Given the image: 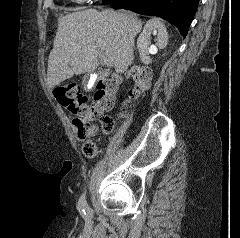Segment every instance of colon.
Returning a JSON list of instances; mask_svg holds the SVG:
<instances>
[{
    "label": "colon",
    "mask_w": 240,
    "mask_h": 238,
    "mask_svg": "<svg viewBox=\"0 0 240 238\" xmlns=\"http://www.w3.org/2000/svg\"><path fill=\"white\" fill-rule=\"evenodd\" d=\"M128 74L132 79V87L124 98V104L140 97L149 87L151 80L150 70L145 67L135 66ZM117 87L116 77L99 83L91 103H88L87 97L81 93L80 87L76 84L61 85L53 90L56 100L72 114L75 133L78 139L84 142L83 152L87 157L96 154L92 138L97 133L96 126L89 122L88 117L98 116L101 131L104 133H110L114 129V119L104 114V111L113 108Z\"/></svg>",
    "instance_id": "obj_1"
}]
</instances>
